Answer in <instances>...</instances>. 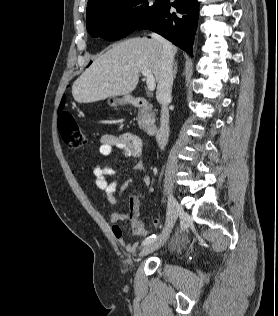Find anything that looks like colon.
Here are the masks:
<instances>
[{
    "instance_id": "colon-1",
    "label": "colon",
    "mask_w": 278,
    "mask_h": 316,
    "mask_svg": "<svg viewBox=\"0 0 278 316\" xmlns=\"http://www.w3.org/2000/svg\"><path fill=\"white\" fill-rule=\"evenodd\" d=\"M58 129L65 145L71 149H79L86 145L87 138L75 118L67 112H60Z\"/></svg>"
}]
</instances>
